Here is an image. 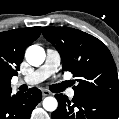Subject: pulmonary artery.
<instances>
[{
  "instance_id": "e3ab8cb5",
  "label": "pulmonary artery",
  "mask_w": 119,
  "mask_h": 119,
  "mask_svg": "<svg viewBox=\"0 0 119 119\" xmlns=\"http://www.w3.org/2000/svg\"><path fill=\"white\" fill-rule=\"evenodd\" d=\"M60 61V55L56 50L47 49L44 64L30 74L20 78L16 84L35 85L41 83L58 69ZM67 93L69 97H73L75 94L73 89H69Z\"/></svg>"
}]
</instances>
